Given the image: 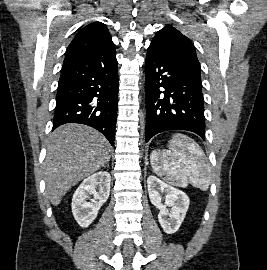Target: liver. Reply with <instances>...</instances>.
<instances>
[{"instance_id":"liver-1","label":"liver","mask_w":267,"mask_h":270,"mask_svg":"<svg viewBox=\"0 0 267 270\" xmlns=\"http://www.w3.org/2000/svg\"><path fill=\"white\" fill-rule=\"evenodd\" d=\"M111 146L97 130L80 124H65L50 136L44 162L46 194L57 206L73 186L104 167Z\"/></svg>"}]
</instances>
